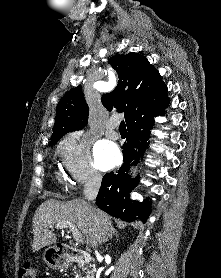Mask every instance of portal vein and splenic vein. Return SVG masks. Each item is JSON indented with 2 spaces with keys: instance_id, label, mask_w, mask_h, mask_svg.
<instances>
[{
  "instance_id": "portal-vein-and-splenic-vein-1",
  "label": "portal vein and splenic vein",
  "mask_w": 221,
  "mask_h": 278,
  "mask_svg": "<svg viewBox=\"0 0 221 278\" xmlns=\"http://www.w3.org/2000/svg\"><path fill=\"white\" fill-rule=\"evenodd\" d=\"M50 227H53V226H50ZM55 228H57V229L69 228L70 231L72 232L73 238L76 241V243H83L84 242L83 235L79 232L77 227L69 221H65V222H61L59 224H56Z\"/></svg>"
}]
</instances>
